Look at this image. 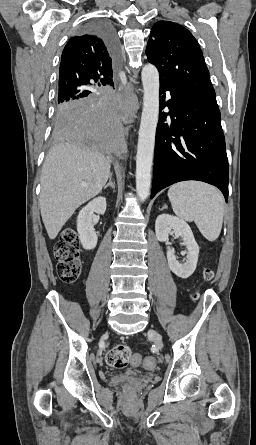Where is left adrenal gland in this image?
I'll list each match as a JSON object with an SVG mask.
<instances>
[{"mask_svg":"<svg viewBox=\"0 0 256 445\" xmlns=\"http://www.w3.org/2000/svg\"><path fill=\"white\" fill-rule=\"evenodd\" d=\"M165 208H167V205H166V204H164V206L162 207L161 210H163V209H165Z\"/></svg>","mask_w":256,"mask_h":445,"instance_id":"obj_1","label":"left adrenal gland"}]
</instances>
